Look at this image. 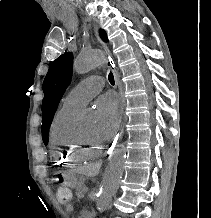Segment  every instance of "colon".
I'll list each match as a JSON object with an SVG mask.
<instances>
[{"label": "colon", "mask_w": 211, "mask_h": 218, "mask_svg": "<svg viewBox=\"0 0 211 218\" xmlns=\"http://www.w3.org/2000/svg\"><path fill=\"white\" fill-rule=\"evenodd\" d=\"M56 198L59 203L67 205L73 200V194L71 189L66 185H59L56 190Z\"/></svg>", "instance_id": "colon-1"}]
</instances>
